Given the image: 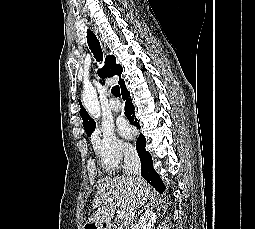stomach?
Masks as SVG:
<instances>
[{"label": "stomach", "instance_id": "0dacf381", "mask_svg": "<svg viewBox=\"0 0 255 229\" xmlns=\"http://www.w3.org/2000/svg\"><path fill=\"white\" fill-rule=\"evenodd\" d=\"M88 224H91V226H93V227H92L93 229H103L101 225H97V224H95V223H89V222L87 223V225H88Z\"/></svg>", "mask_w": 255, "mask_h": 229}]
</instances>
